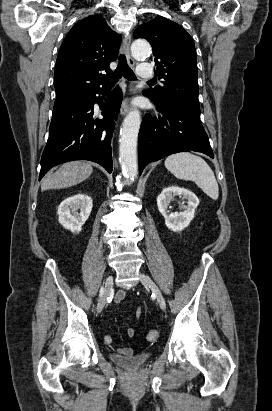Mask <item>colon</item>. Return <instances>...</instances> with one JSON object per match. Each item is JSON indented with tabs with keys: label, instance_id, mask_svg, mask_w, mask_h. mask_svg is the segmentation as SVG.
<instances>
[{
	"label": "colon",
	"instance_id": "5ec220e1",
	"mask_svg": "<svg viewBox=\"0 0 272 411\" xmlns=\"http://www.w3.org/2000/svg\"><path fill=\"white\" fill-rule=\"evenodd\" d=\"M149 342H155L159 338V332L157 330H150L146 336Z\"/></svg>",
	"mask_w": 272,
	"mask_h": 411
}]
</instances>
